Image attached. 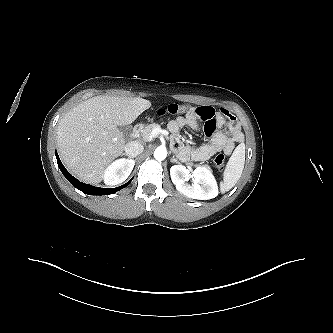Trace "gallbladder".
<instances>
[{"mask_svg":"<svg viewBox=\"0 0 333 333\" xmlns=\"http://www.w3.org/2000/svg\"><path fill=\"white\" fill-rule=\"evenodd\" d=\"M119 130L123 133V135H126V134L129 133L130 128L127 125H125V126H119Z\"/></svg>","mask_w":333,"mask_h":333,"instance_id":"bac80fb5","label":"gallbladder"}]
</instances>
